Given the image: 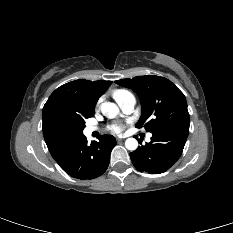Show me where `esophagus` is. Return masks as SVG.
I'll return each mask as SVG.
<instances>
[{
  "label": "esophagus",
  "instance_id": "34e87169",
  "mask_svg": "<svg viewBox=\"0 0 233 233\" xmlns=\"http://www.w3.org/2000/svg\"><path fill=\"white\" fill-rule=\"evenodd\" d=\"M122 141H123V139H121V138L117 139V142H122Z\"/></svg>",
  "mask_w": 233,
  "mask_h": 233
}]
</instances>
